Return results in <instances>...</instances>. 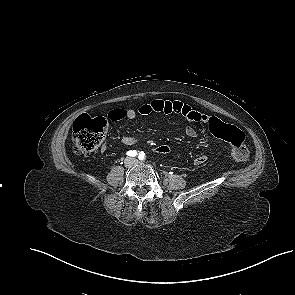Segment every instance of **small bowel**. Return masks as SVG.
Segmentation results:
<instances>
[{"label": "small bowel", "mask_w": 295, "mask_h": 295, "mask_svg": "<svg viewBox=\"0 0 295 295\" xmlns=\"http://www.w3.org/2000/svg\"><path fill=\"white\" fill-rule=\"evenodd\" d=\"M152 112L164 113V114H179L187 119L189 122L202 123L208 126L209 130L215 135L213 130V122H221L218 118L201 113L193 109L190 105L181 101H171L163 99H155L149 103L140 105L136 110L131 108L126 109H111L107 113V117L112 121H118L122 119H134L137 114L147 115ZM185 134L189 138H195L198 135L197 130L189 125L185 129ZM218 137V136H217ZM137 141L134 136H126L122 139L123 144L132 145ZM106 146L101 147V151L104 152ZM207 161L206 155H199L194 160L193 163L196 166L203 165Z\"/></svg>", "instance_id": "c3829d8e"}]
</instances>
